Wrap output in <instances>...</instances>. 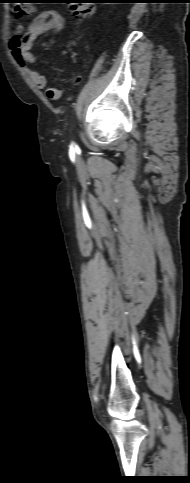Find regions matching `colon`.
<instances>
[{
    "instance_id": "obj_1",
    "label": "colon",
    "mask_w": 190,
    "mask_h": 483,
    "mask_svg": "<svg viewBox=\"0 0 190 483\" xmlns=\"http://www.w3.org/2000/svg\"><path fill=\"white\" fill-rule=\"evenodd\" d=\"M12 14L17 18H27L34 14L35 0H15L13 2ZM71 11L79 19H84L93 14L94 8L85 0H73Z\"/></svg>"
}]
</instances>
